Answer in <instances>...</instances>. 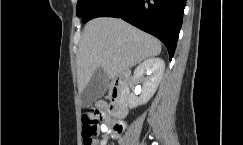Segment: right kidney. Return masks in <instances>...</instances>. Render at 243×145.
<instances>
[{
    "label": "right kidney",
    "instance_id": "right-kidney-1",
    "mask_svg": "<svg viewBox=\"0 0 243 145\" xmlns=\"http://www.w3.org/2000/svg\"><path fill=\"white\" fill-rule=\"evenodd\" d=\"M165 70V63L160 58L151 57L143 61L134 71V78L142 82L141 95L136 97L133 93L129 95L130 109L147 103L157 90ZM147 74L148 77H144Z\"/></svg>",
    "mask_w": 243,
    "mask_h": 145
}]
</instances>
